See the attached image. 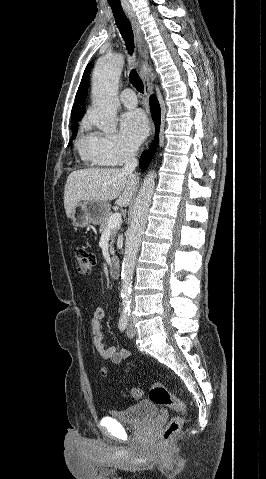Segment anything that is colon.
<instances>
[{
	"label": "colon",
	"mask_w": 266,
	"mask_h": 479,
	"mask_svg": "<svg viewBox=\"0 0 266 479\" xmlns=\"http://www.w3.org/2000/svg\"><path fill=\"white\" fill-rule=\"evenodd\" d=\"M73 259L76 264L77 272L80 275L90 274L94 264V255L84 248H75L73 251ZM102 375H106V368L101 369ZM143 393L139 388H133L131 390V396L133 399H140ZM149 399L156 405L168 407L176 412V415L171 418L161 434V442L168 444L180 431L185 415L186 406L185 403L174 396L166 387L159 382H154L150 391Z\"/></svg>",
	"instance_id": "obj_1"
}]
</instances>
